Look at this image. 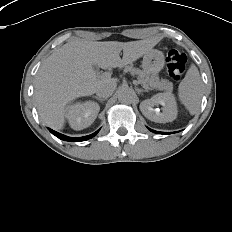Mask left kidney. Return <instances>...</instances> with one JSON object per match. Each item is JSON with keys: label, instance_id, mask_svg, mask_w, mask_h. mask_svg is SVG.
Listing matches in <instances>:
<instances>
[{"label": "left kidney", "instance_id": "obj_1", "mask_svg": "<svg viewBox=\"0 0 232 232\" xmlns=\"http://www.w3.org/2000/svg\"><path fill=\"white\" fill-rule=\"evenodd\" d=\"M162 105V112L154 109L156 105ZM140 110L149 120L156 123L172 122L177 117V103L175 97L170 92L158 93L141 102Z\"/></svg>", "mask_w": 232, "mask_h": 232}]
</instances>
